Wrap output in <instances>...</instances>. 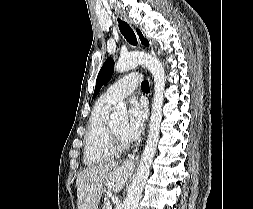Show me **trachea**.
I'll return each instance as SVG.
<instances>
[{
    "instance_id": "trachea-1",
    "label": "trachea",
    "mask_w": 253,
    "mask_h": 209,
    "mask_svg": "<svg viewBox=\"0 0 253 209\" xmlns=\"http://www.w3.org/2000/svg\"><path fill=\"white\" fill-rule=\"evenodd\" d=\"M141 88L142 89H149V82L147 80H144L142 83H141Z\"/></svg>"
}]
</instances>
